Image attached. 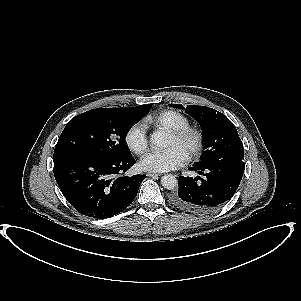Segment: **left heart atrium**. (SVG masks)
I'll list each match as a JSON object with an SVG mask.
<instances>
[{
  "instance_id": "1",
  "label": "left heart atrium",
  "mask_w": 301,
  "mask_h": 301,
  "mask_svg": "<svg viewBox=\"0 0 301 301\" xmlns=\"http://www.w3.org/2000/svg\"><path fill=\"white\" fill-rule=\"evenodd\" d=\"M183 160L182 153L167 148L147 153L142 161V166L151 172H167L180 167Z\"/></svg>"
}]
</instances>
